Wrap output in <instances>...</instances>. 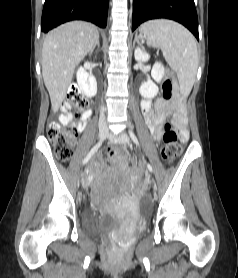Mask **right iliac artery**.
I'll list each match as a JSON object with an SVG mask.
<instances>
[{"label":"right iliac artery","instance_id":"obj_1","mask_svg":"<svg viewBox=\"0 0 238 278\" xmlns=\"http://www.w3.org/2000/svg\"><path fill=\"white\" fill-rule=\"evenodd\" d=\"M101 145H102V142H99L95 146H93V148L90 150V152L84 158L83 164L87 163L90 160V158L95 154V152H97V150L100 148Z\"/></svg>","mask_w":238,"mask_h":278}]
</instances>
